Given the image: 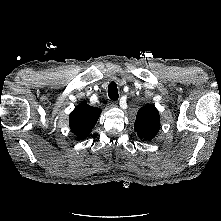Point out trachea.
Here are the masks:
<instances>
[{"instance_id": "1", "label": "trachea", "mask_w": 221, "mask_h": 221, "mask_svg": "<svg viewBox=\"0 0 221 221\" xmlns=\"http://www.w3.org/2000/svg\"><path fill=\"white\" fill-rule=\"evenodd\" d=\"M108 96L113 101L118 100L119 93H118V89H117V84L115 82H111L108 85Z\"/></svg>"}]
</instances>
